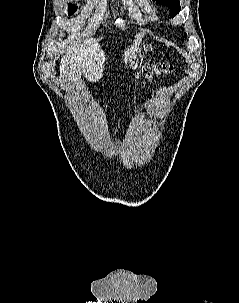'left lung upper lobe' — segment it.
I'll use <instances>...</instances> for the list:
<instances>
[{
    "instance_id": "5c2ea615",
    "label": "left lung upper lobe",
    "mask_w": 239,
    "mask_h": 303,
    "mask_svg": "<svg viewBox=\"0 0 239 303\" xmlns=\"http://www.w3.org/2000/svg\"><path fill=\"white\" fill-rule=\"evenodd\" d=\"M155 1V0H153ZM159 4L167 5L170 8L171 15L175 16L180 12V5L178 0H156ZM186 36V34H184Z\"/></svg>"
}]
</instances>
